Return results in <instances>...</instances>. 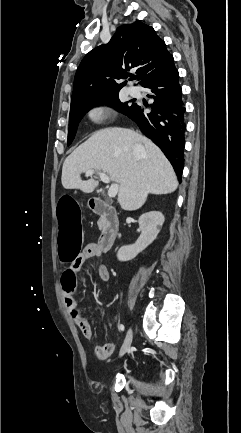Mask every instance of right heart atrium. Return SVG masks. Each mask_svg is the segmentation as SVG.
I'll use <instances>...</instances> for the list:
<instances>
[{"label": "right heart atrium", "mask_w": 241, "mask_h": 433, "mask_svg": "<svg viewBox=\"0 0 241 433\" xmlns=\"http://www.w3.org/2000/svg\"><path fill=\"white\" fill-rule=\"evenodd\" d=\"M103 110L100 108H94L89 112V117L94 120L98 121L102 118Z\"/></svg>", "instance_id": "right-heart-atrium-1"}]
</instances>
